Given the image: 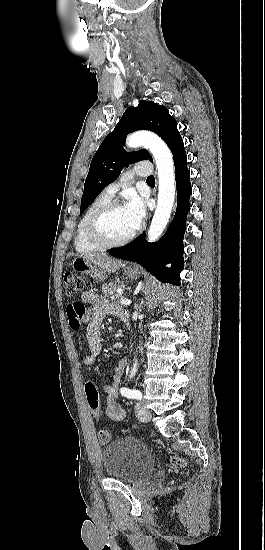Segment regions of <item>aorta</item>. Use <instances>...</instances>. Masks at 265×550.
Listing matches in <instances>:
<instances>
[{
    "instance_id": "762f6f07",
    "label": "aorta",
    "mask_w": 265,
    "mask_h": 550,
    "mask_svg": "<svg viewBox=\"0 0 265 550\" xmlns=\"http://www.w3.org/2000/svg\"><path fill=\"white\" fill-rule=\"evenodd\" d=\"M130 148L145 146L152 153L158 171V203L148 230V241L154 242L163 233L171 215L175 198V176L173 156L168 146L157 135L150 132H136L126 140ZM137 362L133 373L136 372Z\"/></svg>"
}]
</instances>
